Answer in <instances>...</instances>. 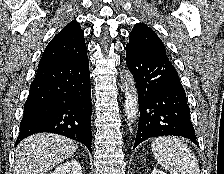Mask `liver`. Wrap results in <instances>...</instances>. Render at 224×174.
Returning a JSON list of instances; mask_svg holds the SVG:
<instances>
[{
	"label": "liver",
	"instance_id": "1",
	"mask_svg": "<svg viewBox=\"0 0 224 174\" xmlns=\"http://www.w3.org/2000/svg\"><path fill=\"white\" fill-rule=\"evenodd\" d=\"M78 144L64 136L38 133L23 139L16 148L13 174H46L72 156Z\"/></svg>",
	"mask_w": 224,
	"mask_h": 174
}]
</instances>
